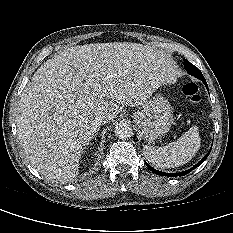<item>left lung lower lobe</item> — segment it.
<instances>
[{"instance_id":"1","label":"left lung lower lobe","mask_w":233,"mask_h":233,"mask_svg":"<svg viewBox=\"0 0 233 233\" xmlns=\"http://www.w3.org/2000/svg\"><path fill=\"white\" fill-rule=\"evenodd\" d=\"M202 82L205 84V86H206V88H207V90H208V86H207V83H206V80L205 79H202ZM211 151V150H210ZM210 151L208 152V154H206L203 158H202V160L199 162V163H197L195 166H193L191 169H188V170H186V171H182V172H179V173H164V172H161V171H158V170H155L154 168H152L151 166H149L147 163H146V165H147V167L152 171V172H154V173H156V174H158V175H163V176H172V177H176V176H184V175H186L187 173H189L190 171H192L194 168H196V167H198L207 157H208V155H209V153H210Z\"/></svg>"}]
</instances>
